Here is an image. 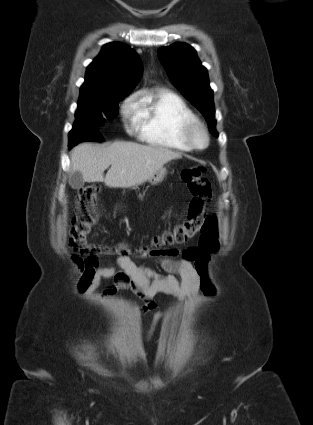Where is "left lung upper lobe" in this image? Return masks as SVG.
<instances>
[{
  "instance_id": "obj_1",
  "label": "left lung upper lobe",
  "mask_w": 313,
  "mask_h": 425,
  "mask_svg": "<svg viewBox=\"0 0 313 425\" xmlns=\"http://www.w3.org/2000/svg\"><path fill=\"white\" fill-rule=\"evenodd\" d=\"M157 53L173 85L204 115L211 133L218 137L213 90L196 50L186 43H174Z\"/></svg>"
}]
</instances>
